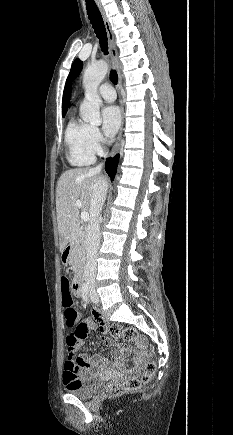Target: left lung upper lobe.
I'll return each instance as SVG.
<instances>
[{"label":"left lung upper lobe","instance_id":"1","mask_svg":"<svg viewBox=\"0 0 233 435\" xmlns=\"http://www.w3.org/2000/svg\"><path fill=\"white\" fill-rule=\"evenodd\" d=\"M82 61H80L79 59H76L71 67L70 70V74L69 77L71 80L75 79L77 77V75L80 73L81 69H82Z\"/></svg>","mask_w":233,"mask_h":435}]
</instances>
